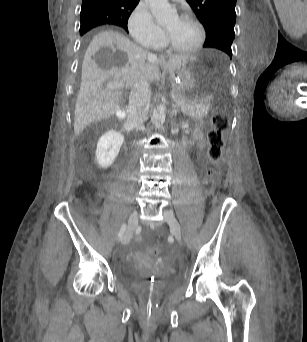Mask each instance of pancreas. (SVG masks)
I'll use <instances>...</instances> for the list:
<instances>
[{
    "mask_svg": "<svg viewBox=\"0 0 307 342\" xmlns=\"http://www.w3.org/2000/svg\"><path fill=\"white\" fill-rule=\"evenodd\" d=\"M179 104H189L187 108L190 110L187 111L188 117H193L194 114L196 117H203L206 110L209 109L208 103H201L202 99L197 97L195 100H191L190 97H186L185 94H176L173 97Z\"/></svg>",
    "mask_w": 307,
    "mask_h": 342,
    "instance_id": "pancreas-1",
    "label": "pancreas"
}]
</instances>
